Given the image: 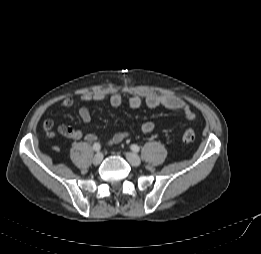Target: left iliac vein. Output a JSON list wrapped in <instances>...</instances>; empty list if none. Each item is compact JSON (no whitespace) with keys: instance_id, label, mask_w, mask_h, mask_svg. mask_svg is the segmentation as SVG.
<instances>
[{"instance_id":"4c4485c4","label":"left iliac vein","mask_w":261,"mask_h":254,"mask_svg":"<svg viewBox=\"0 0 261 254\" xmlns=\"http://www.w3.org/2000/svg\"><path fill=\"white\" fill-rule=\"evenodd\" d=\"M125 156L131 165L137 167L141 164V160H140L139 156H137L135 153L127 152V153H125Z\"/></svg>"}]
</instances>
